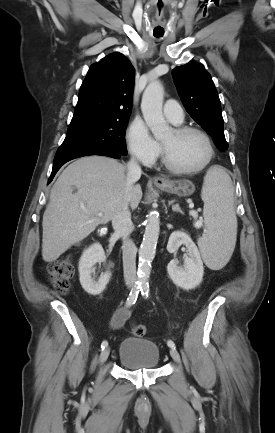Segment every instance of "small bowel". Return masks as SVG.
I'll list each match as a JSON object with an SVG mask.
<instances>
[{"label":"small bowel","mask_w":275,"mask_h":433,"mask_svg":"<svg viewBox=\"0 0 275 433\" xmlns=\"http://www.w3.org/2000/svg\"><path fill=\"white\" fill-rule=\"evenodd\" d=\"M130 315L131 311L129 308H118L110 319L111 328L120 329L121 327H123L126 321L129 319Z\"/></svg>","instance_id":"c3829d8e"}]
</instances>
